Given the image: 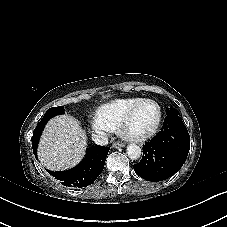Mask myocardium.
I'll use <instances>...</instances> for the list:
<instances>
[{"instance_id":"f54148a6","label":"myocardium","mask_w":227,"mask_h":227,"mask_svg":"<svg viewBox=\"0 0 227 227\" xmlns=\"http://www.w3.org/2000/svg\"><path fill=\"white\" fill-rule=\"evenodd\" d=\"M144 103H152V104L156 105V107L158 109V118H157L155 125L152 127V129L150 131H148L147 133H143V134L127 132L126 126L129 122L130 118L132 117L134 112L139 108V106H141ZM161 119H162V110H161V107L158 104V102H156L155 100H152V99H142L139 102H137L134 106H132L128 110V112L124 115V117L122 118V120L118 126V134L127 141L140 142V141L146 140L155 134V132L157 131V129L161 123Z\"/></svg>"}]
</instances>
